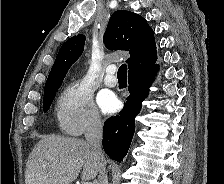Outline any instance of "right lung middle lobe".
<instances>
[{
    "label": "right lung middle lobe",
    "instance_id": "1",
    "mask_svg": "<svg viewBox=\"0 0 224 184\" xmlns=\"http://www.w3.org/2000/svg\"><path fill=\"white\" fill-rule=\"evenodd\" d=\"M56 91L57 90L44 94V99H43V109H44V112H46L50 108V105H51V103H52V101L54 99Z\"/></svg>",
    "mask_w": 224,
    "mask_h": 184
}]
</instances>
